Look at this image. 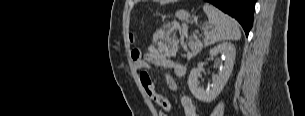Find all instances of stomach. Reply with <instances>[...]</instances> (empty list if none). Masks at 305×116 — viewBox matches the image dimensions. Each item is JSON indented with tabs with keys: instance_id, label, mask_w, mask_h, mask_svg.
<instances>
[{
	"instance_id": "0dacf381",
	"label": "stomach",
	"mask_w": 305,
	"mask_h": 116,
	"mask_svg": "<svg viewBox=\"0 0 305 116\" xmlns=\"http://www.w3.org/2000/svg\"><path fill=\"white\" fill-rule=\"evenodd\" d=\"M176 17L182 21H188L189 13L185 10H179L176 12Z\"/></svg>"
}]
</instances>
